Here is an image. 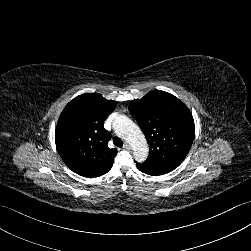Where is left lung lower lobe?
I'll return each mask as SVG.
<instances>
[{
  "label": "left lung lower lobe",
  "instance_id": "0a47b994",
  "mask_svg": "<svg viewBox=\"0 0 251 251\" xmlns=\"http://www.w3.org/2000/svg\"><path fill=\"white\" fill-rule=\"evenodd\" d=\"M137 168L148 175L152 176H159L168 172H171L174 170L176 167L167 165V164H161L153 161H148L146 160L144 163L139 164L136 162Z\"/></svg>",
  "mask_w": 251,
  "mask_h": 251
}]
</instances>
